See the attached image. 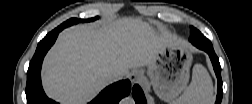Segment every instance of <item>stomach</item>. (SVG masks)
Returning <instances> with one entry per match:
<instances>
[{
	"label": "stomach",
	"instance_id": "stomach-1",
	"mask_svg": "<svg viewBox=\"0 0 252 104\" xmlns=\"http://www.w3.org/2000/svg\"><path fill=\"white\" fill-rule=\"evenodd\" d=\"M192 54L179 42L163 45L155 59L146 66V73L158 97L175 103L189 81ZM142 73L145 69L140 70Z\"/></svg>",
	"mask_w": 252,
	"mask_h": 104
}]
</instances>
